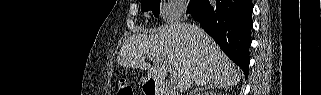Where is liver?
I'll return each instance as SVG.
<instances>
[{
	"mask_svg": "<svg viewBox=\"0 0 321 95\" xmlns=\"http://www.w3.org/2000/svg\"><path fill=\"white\" fill-rule=\"evenodd\" d=\"M155 62L154 66L145 58ZM120 66L147 71L148 78L163 81L170 65L180 92L193 84L234 86L241 70L222 52L201 28L188 23H174L152 34H134L122 45L117 57Z\"/></svg>",
	"mask_w": 321,
	"mask_h": 95,
	"instance_id": "1",
	"label": "liver"
}]
</instances>
